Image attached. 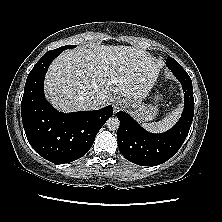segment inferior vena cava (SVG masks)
I'll use <instances>...</instances> for the list:
<instances>
[{
	"instance_id": "obj_1",
	"label": "inferior vena cava",
	"mask_w": 222,
	"mask_h": 222,
	"mask_svg": "<svg viewBox=\"0 0 222 222\" xmlns=\"http://www.w3.org/2000/svg\"><path fill=\"white\" fill-rule=\"evenodd\" d=\"M83 103L85 107L89 110H95L100 108L101 106L99 99L94 96H87L83 99Z\"/></svg>"
}]
</instances>
